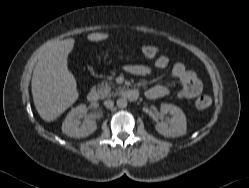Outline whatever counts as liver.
<instances>
[{
	"mask_svg": "<svg viewBox=\"0 0 249 188\" xmlns=\"http://www.w3.org/2000/svg\"><path fill=\"white\" fill-rule=\"evenodd\" d=\"M108 33H91L89 41H102ZM75 40L68 38L48 46L39 58L32 75L34 104L40 117L51 122L64 113L79 97L75 77L68 69L67 58Z\"/></svg>",
	"mask_w": 249,
	"mask_h": 188,
	"instance_id": "obj_1",
	"label": "liver"
}]
</instances>
